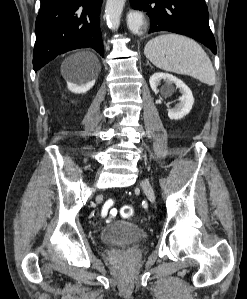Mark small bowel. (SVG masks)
<instances>
[{
	"label": "small bowel",
	"instance_id": "c3829d8e",
	"mask_svg": "<svg viewBox=\"0 0 247 299\" xmlns=\"http://www.w3.org/2000/svg\"><path fill=\"white\" fill-rule=\"evenodd\" d=\"M114 201L112 199H109L105 202L103 208H102V216L105 217L107 215H110L111 217H115L118 213L117 209L113 208Z\"/></svg>",
	"mask_w": 247,
	"mask_h": 299
}]
</instances>
